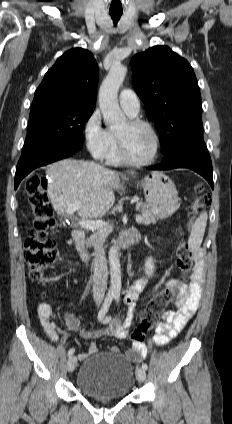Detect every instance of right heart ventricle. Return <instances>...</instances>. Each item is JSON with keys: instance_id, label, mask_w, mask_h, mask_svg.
Masks as SVG:
<instances>
[{"instance_id": "1", "label": "right heart ventricle", "mask_w": 232, "mask_h": 424, "mask_svg": "<svg viewBox=\"0 0 232 424\" xmlns=\"http://www.w3.org/2000/svg\"><path fill=\"white\" fill-rule=\"evenodd\" d=\"M112 136V146L109 153L106 156L107 163L111 165H119L122 163L117 149L116 139L113 133H110Z\"/></svg>"}]
</instances>
